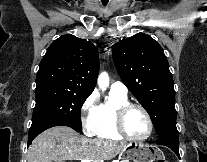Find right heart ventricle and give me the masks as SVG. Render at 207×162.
Segmentation results:
<instances>
[{"instance_id":"obj_1","label":"right heart ventricle","mask_w":207,"mask_h":162,"mask_svg":"<svg viewBox=\"0 0 207 162\" xmlns=\"http://www.w3.org/2000/svg\"><path fill=\"white\" fill-rule=\"evenodd\" d=\"M125 103H128L127 95L110 92L109 100L97 106L94 131L96 137L112 141L123 139L115 129L114 116L115 110Z\"/></svg>"}]
</instances>
